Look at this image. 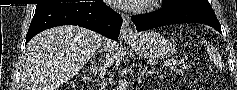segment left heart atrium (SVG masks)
Instances as JSON below:
<instances>
[{"label":"left heart atrium","instance_id":"1","mask_svg":"<svg viewBox=\"0 0 237 90\" xmlns=\"http://www.w3.org/2000/svg\"><path fill=\"white\" fill-rule=\"evenodd\" d=\"M143 3H151V0H112V7H122V10H137L143 7Z\"/></svg>","mask_w":237,"mask_h":90}]
</instances>
